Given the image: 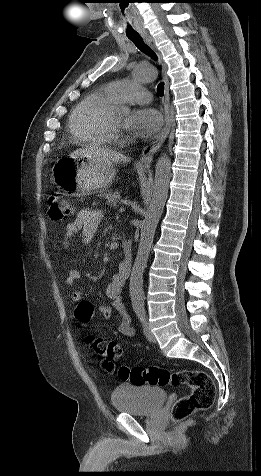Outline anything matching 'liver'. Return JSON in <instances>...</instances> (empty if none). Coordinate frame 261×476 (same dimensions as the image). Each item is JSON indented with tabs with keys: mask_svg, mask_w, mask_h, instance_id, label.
Segmentation results:
<instances>
[{
	"mask_svg": "<svg viewBox=\"0 0 261 476\" xmlns=\"http://www.w3.org/2000/svg\"><path fill=\"white\" fill-rule=\"evenodd\" d=\"M86 156L88 158L100 161V162H109V163H127L130 161V158L124 156L123 154L109 150L107 148H101L98 146L90 145L84 148H80L73 153L70 157Z\"/></svg>",
	"mask_w": 261,
	"mask_h": 476,
	"instance_id": "6515ba94",
	"label": "liver"
}]
</instances>
